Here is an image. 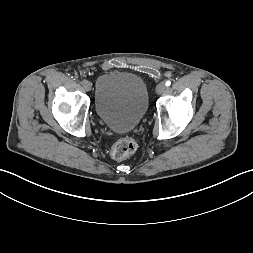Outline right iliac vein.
Instances as JSON below:
<instances>
[{
    "label": "right iliac vein",
    "mask_w": 253,
    "mask_h": 253,
    "mask_svg": "<svg viewBox=\"0 0 253 253\" xmlns=\"http://www.w3.org/2000/svg\"><path fill=\"white\" fill-rule=\"evenodd\" d=\"M91 83L89 81H85L84 84H83V88L85 91H90L91 90Z\"/></svg>",
    "instance_id": "63e3f726"
}]
</instances>
